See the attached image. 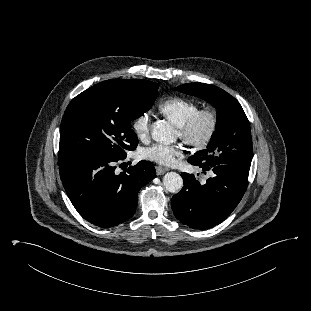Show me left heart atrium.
Instances as JSON below:
<instances>
[{
	"instance_id": "1",
	"label": "left heart atrium",
	"mask_w": 311,
	"mask_h": 311,
	"mask_svg": "<svg viewBox=\"0 0 311 311\" xmlns=\"http://www.w3.org/2000/svg\"><path fill=\"white\" fill-rule=\"evenodd\" d=\"M141 155L147 160L163 165H171L176 161L177 157L182 155V149L179 146L156 143L144 148Z\"/></svg>"
}]
</instances>
